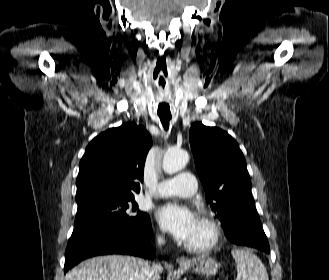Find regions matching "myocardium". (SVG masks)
Listing matches in <instances>:
<instances>
[{"label": "myocardium", "mask_w": 329, "mask_h": 280, "mask_svg": "<svg viewBox=\"0 0 329 280\" xmlns=\"http://www.w3.org/2000/svg\"><path fill=\"white\" fill-rule=\"evenodd\" d=\"M199 220L208 231V238L200 244L186 243V248L194 253H206L217 246L221 237L219 224L207 213H200Z\"/></svg>", "instance_id": "f54148a6"}]
</instances>
